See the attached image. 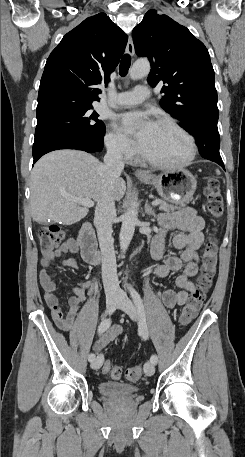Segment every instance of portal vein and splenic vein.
I'll return each mask as SVG.
<instances>
[{
    "instance_id": "18ae733b",
    "label": "portal vein and splenic vein",
    "mask_w": 245,
    "mask_h": 457,
    "mask_svg": "<svg viewBox=\"0 0 245 457\" xmlns=\"http://www.w3.org/2000/svg\"><path fill=\"white\" fill-rule=\"evenodd\" d=\"M67 200H73V202H78V204H84V206H94V200H90V198H80V196H65ZM159 198L153 200L152 204H159Z\"/></svg>"
}]
</instances>
